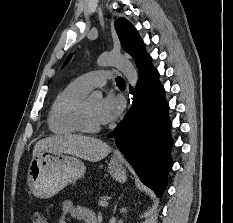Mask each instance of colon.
Here are the masks:
<instances>
[{
	"label": "colon",
	"mask_w": 233,
	"mask_h": 223,
	"mask_svg": "<svg viewBox=\"0 0 233 223\" xmlns=\"http://www.w3.org/2000/svg\"><path fill=\"white\" fill-rule=\"evenodd\" d=\"M34 223H46L45 219L38 216L34 219Z\"/></svg>",
	"instance_id": "1"
}]
</instances>
